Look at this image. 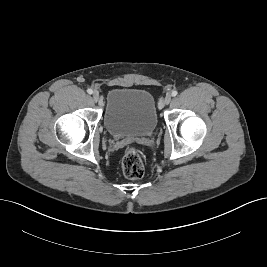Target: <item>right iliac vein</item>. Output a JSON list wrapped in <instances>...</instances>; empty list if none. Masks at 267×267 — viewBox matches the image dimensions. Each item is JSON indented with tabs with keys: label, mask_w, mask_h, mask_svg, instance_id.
I'll use <instances>...</instances> for the list:
<instances>
[{
	"label": "right iliac vein",
	"mask_w": 267,
	"mask_h": 267,
	"mask_svg": "<svg viewBox=\"0 0 267 267\" xmlns=\"http://www.w3.org/2000/svg\"><path fill=\"white\" fill-rule=\"evenodd\" d=\"M93 99H94V101H98L99 100V94H98V92H94L93 93Z\"/></svg>",
	"instance_id": "1"
}]
</instances>
